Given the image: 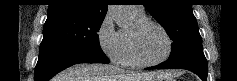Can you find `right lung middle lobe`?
Wrapping results in <instances>:
<instances>
[{"label":"right lung middle lobe","mask_w":237,"mask_h":81,"mask_svg":"<svg viewBox=\"0 0 237 81\" xmlns=\"http://www.w3.org/2000/svg\"><path fill=\"white\" fill-rule=\"evenodd\" d=\"M104 18L59 16L47 19L40 48L102 51L97 32Z\"/></svg>","instance_id":"right-lung-middle-lobe-1"}]
</instances>
